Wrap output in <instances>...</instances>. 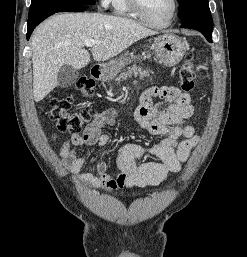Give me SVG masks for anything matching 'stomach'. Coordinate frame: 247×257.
Returning a JSON list of instances; mask_svg holds the SVG:
<instances>
[{
    "instance_id": "0dacf381",
    "label": "stomach",
    "mask_w": 247,
    "mask_h": 257,
    "mask_svg": "<svg viewBox=\"0 0 247 257\" xmlns=\"http://www.w3.org/2000/svg\"><path fill=\"white\" fill-rule=\"evenodd\" d=\"M186 47V43L182 38L170 33L158 37L153 44L156 59L168 67L174 66L181 61ZM131 61L132 59L130 58H121L102 65L101 78L105 81L113 79Z\"/></svg>"
}]
</instances>
